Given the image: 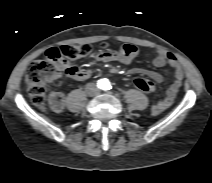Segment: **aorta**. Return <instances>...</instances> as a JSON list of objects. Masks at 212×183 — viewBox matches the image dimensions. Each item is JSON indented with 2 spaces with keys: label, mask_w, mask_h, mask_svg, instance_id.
Wrapping results in <instances>:
<instances>
[{
  "label": "aorta",
  "mask_w": 212,
  "mask_h": 183,
  "mask_svg": "<svg viewBox=\"0 0 212 183\" xmlns=\"http://www.w3.org/2000/svg\"><path fill=\"white\" fill-rule=\"evenodd\" d=\"M101 83H103L104 85H108V81L106 79H102L100 80Z\"/></svg>",
  "instance_id": "762f6f07"
}]
</instances>
